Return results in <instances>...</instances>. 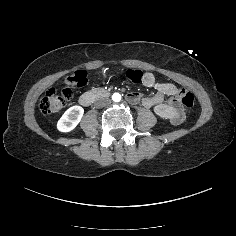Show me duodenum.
<instances>
[{"mask_svg":"<svg viewBox=\"0 0 236 236\" xmlns=\"http://www.w3.org/2000/svg\"><path fill=\"white\" fill-rule=\"evenodd\" d=\"M162 93L158 94L156 97L144 99L143 104L145 107L153 108L154 111L161 117L168 119L173 122H178L183 118V109L181 107L178 97L172 92L173 97L170 102L162 103L160 96ZM108 95L107 91L103 89H94L83 93L79 98V103L83 106H88L94 101L104 98ZM128 100L132 103H136L140 100L138 94H128Z\"/></svg>","mask_w":236,"mask_h":236,"instance_id":"duodenum-1","label":"duodenum"}]
</instances>
